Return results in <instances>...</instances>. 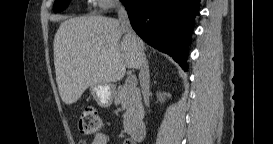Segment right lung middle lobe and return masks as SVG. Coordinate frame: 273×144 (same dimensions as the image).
Here are the masks:
<instances>
[{
  "label": "right lung middle lobe",
  "instance_id": "right-lung-middle-lobe-1",
  "mask_svg": "<svg viewBox=\"0 0 273 144\" xmlns=\"http://www.w3.org/2000/svg\"><path fill=\"white\" fill-rule=\"evenodd\" d=\"M70 0H56L54 4L53 11L54 12H60L64 10L67 6Z\"/></svg>",
  "mask_w": 273,
  "mask_h": 144
}]
</instances>
